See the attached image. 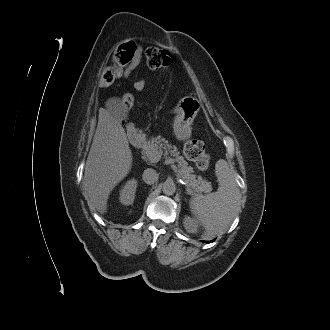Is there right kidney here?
Here are the masks:
<instances>
[{
  "label": "right kidney",
  "instance_id": "obj_1",
  "mask_svg": "<svg viewBox=\"0 0 330 330\" xmlns=\"http://www.w3.org/2000/svg\"><path fill=\"white\" fill-rule=\"evenodd\" d=\"M138 182L136 179L128 180L120 190V202L124 205H131L135 199Z\"/></svg>",
  "mask_w": 330,
  "mask_h": 330
}]
</instances>
